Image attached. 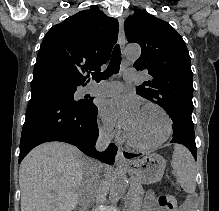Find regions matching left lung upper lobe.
Returning a JSON list of instances; mask_svg holds the SVG:
<instances>
[{"mask_svg":"<svg viewBox=\"0 0 219 211\" xmlns=\"http://www.w3.org/2000/svg\"><path fill=\"white\" fill-rule=\"evenodd\" d=\"M124 26L128 41L142 50L134 67L151 75L136 87L137 94L161 106L170 115L173 129L194 128L191 60L181 35L144 10H135Z\"/></svg>","mask_w":219,"mask_h":211,"instance_id":"1","label":"left lung upper lobe"}]
</instances>
